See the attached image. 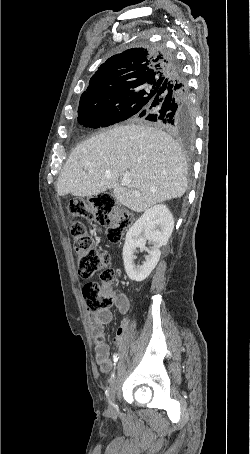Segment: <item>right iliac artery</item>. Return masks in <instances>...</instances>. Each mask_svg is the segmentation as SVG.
I'll use <instances>...</instances> for the list:
<instances>
[{"mask_svg":"<svg viewBox=\"0 0 250 454\" xmlns=\"http://www.w3.org/2000/svg\"><path fill=\"white\" fill-rule=\"evenodd\" d=\"M118 359H119V355L117 353H114V355H113L114 366L116 365V362L118 361ZM114 369H115V367H114ZM113 378H114V371L111 374L110 381H112Z\"/></svg>","mask_w":250,"mask_h":454,"instance_id":"obj_1","label":"right iliac artery"}]
</instances>
